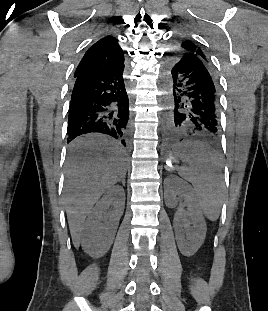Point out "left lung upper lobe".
<instances>
[{"instance_id":"1","label":"left lung upper lobe","mask_w":268,"mask_h":311,"mask_svg":"<svg viewBox=\"0 0 268 311\" xmlns=\"http://www.w3.org/2000/svg\"><path fill=\"white\" fill-rule=\"evenodd\" d=\"M174 54L179 60L198 58L210 62L202 48L189 39H181Z\"/></svg>"}]
</instances>
